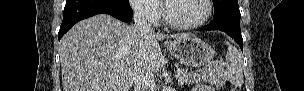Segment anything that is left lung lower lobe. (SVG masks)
Listing matches in <instances>:
<instances>
[{
    "label": "left lung lower lobe",
    "mask_w": 304,
    "mask_h": 91,
    "mask_svg": "<svg viewBox=\"0 0 304 91\" xmlns=\"http://www.w3.org/2000/svg\"><path fill=\"white\" fill-rule=\"evenodd\" d=\"M240 10L238 6H234L214 17V20L200 28V31L221 30L232 37L243 51V39L240 30Z\"/></svg>",
    "instance_id": "0a47b994"
}]
</instances>
